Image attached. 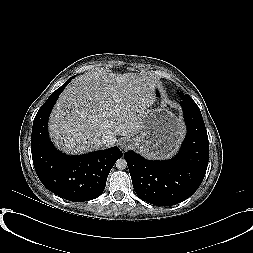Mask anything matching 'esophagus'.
<instances>
[{"label": "esophagus", "instance_id": "1", "mask_svg": "<svg viewBox=\"0 0 253 253\" xmlns=\"http://www.w3.org/2000/svg\"><path fill=\"white\" fill-rule=\"evenodd\" d=\"M119 145H120V147H121L122 149H124V150H126V149H127V146H128V144H127L126 141H121Z\"/></svg>", "mask_w": 253, "mask_h": 253}]
</instances>
